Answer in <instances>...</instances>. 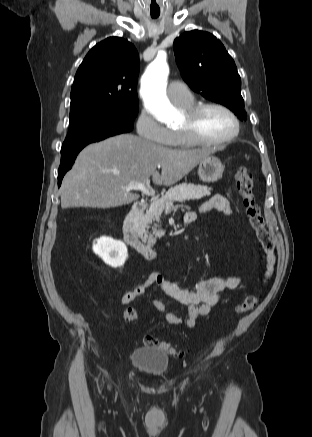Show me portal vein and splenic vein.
Masks as SVG:
<instances>
[{"mask_svg":"<svg viewBox=\"0 0 312 437\" xmlns=\"http://www.w3.org/2000/svg\"><path fill=\"white\" fill-rule=\"evenodd\" d=\"M123 189L130 191V190H140L143 194L148 196H154L155 191L153 188L150 187V179H146L143 182H136L131 181L127 186H125ZM174 207L172 205L167 206V210H172Z\"/></svg>","mask_w":312,"mask_h":437,"instance_id":"18ae733b","label":"portal vein and splenic vein"}]
</instances>
